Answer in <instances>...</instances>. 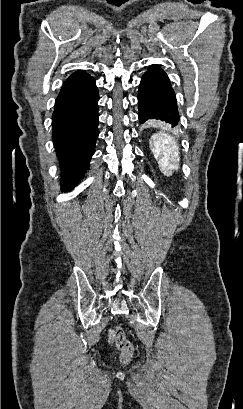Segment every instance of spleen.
Segmentation results:
<instances>
[{
	"label": "spleen",
	"mask_w": 243,
	"mask_h": 409,
	"mask_svg": "<svg viewBox=\"0 0 243 409\" xmlns=\"http://www.w3.org/2000/svg\"><path fill=\"white\" fill-rule=\"evenodd\" d=\"M150 147L156 158L161 172L166 176H171L174 170L178 169L179 147L174 137L162 132L151 137Z\"/></svg>",
	"instance_id": "obj_1"
}]
</instances>
